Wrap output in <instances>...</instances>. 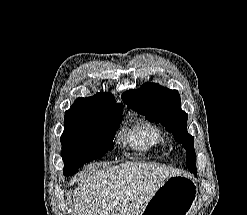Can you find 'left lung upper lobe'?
Returning <instances> with one entry per match:
<instances>
[{
    "label": "left lung upper lobe",
    "instance_id": "obj_1",
    "mask_svg": "<svg viewBox=\"0 0 247 215\" xmlns=\"http://www.w3.org/2000/svg\"><path fill=\"white\" fill-rule=\"evenodd\" d=\"M122 100L128 109L144 115L148 120L162 123L166 130L174 135L176 141L182 143L186 150V166L196 174V157L194 137L186 130L188 115L181 110L180 95L176 90L161 87L158 84L145 83L138 90L126 91Z\"/></svg>",
    "mask_w": 247,
    "mask_h": 215
}]
</instances>
